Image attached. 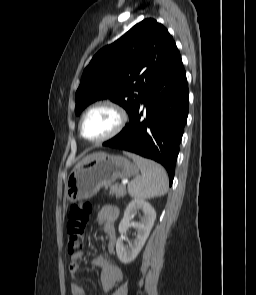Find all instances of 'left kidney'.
<instances>
[{"label":"left kidney","mask_w":256,"mask_h":295,"mask_svg":"<svg viewBox=\"0 0 256 295\" xmlns=\"http://www.w3.org/2000/svg\"><path fill=\"white\" fill-rule=\"evenodd\" d=\"M139 211H142L143 216L140 222L134 223L137 230L135 239L129 243V247L124 246L123 241L125 239L127 229L132 223L134 214ZM155 219L156 212L154 208L145 200L134 199L128 204L124 212L123 219L119 224L118 230L120 237L116 242V252L121 263L129 264L137 257L150 234Z\"/></svg>","instance_id":"5707ae66"}]
</instances>
